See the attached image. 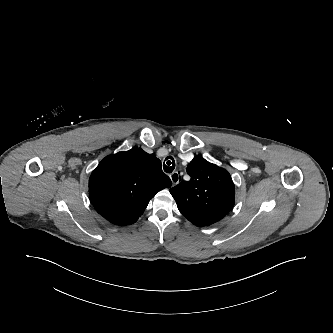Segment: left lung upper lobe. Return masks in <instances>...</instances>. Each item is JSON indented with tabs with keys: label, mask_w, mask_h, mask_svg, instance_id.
I'll return each instance as SVG.
<instances>
[{
	"label": "left lung upper lobe",
	"mask_w": 333,
	"mask_h": 333,
	"mask_svg": "<svg viewBox=\"0 0 333 333\" xmlns=\"http://www.w3.org/2000/svg\"><path fill=\"white\" fill-rule=\"evenodd\" d=\"M190 181H182L170 193L177 206L199 210H227L234 206L235 188L228 171L196 156L186 168Z\"/></svg>",
	"instance_id": "5c2ea615"
}]
</instances>
